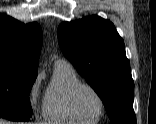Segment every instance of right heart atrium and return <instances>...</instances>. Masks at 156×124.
I'll list each match as a JSON object with an SVG mask.
<instances>
[{
  "label": "right heart atrium",
  "mask_w": 156,
  "mask_h": 124,
  "mask_svg": "<svg viewBox=\"0 0 156 124\" xmlns=\"http://www.w3.org/2000/svg\"><path fill=\"white\" fill-rule=\"evenodd\" d=\"M42 74L38 72L34 77L27 92V100L30 108L35 114L43 112L44 99L41 92Z\"/></svg>",
  "instance_id": "obj_1"
}]
</instances>
